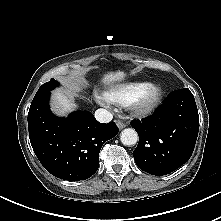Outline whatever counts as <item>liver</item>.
<instances>
[{
	"label": "liver",
	"mask_w": 221,
	"mask_h": 221,
	"mask_svg": "<svg viewBox=\"0 0 221 221\" xmlns=\"http://www.w3.org/2000/svg\"><path fill=\"white\" fill-rule=\"evenodd\" d=\"M125 75L123 71L108 72L103 75L101 82L105 85H111L117 81H122ZM52 107L55 113L65 116L67 113L72 112L77 105L69 95L61 91H55L53 94Z\"/></svg>",
	"instance_id": "1"
}]
</instances>
